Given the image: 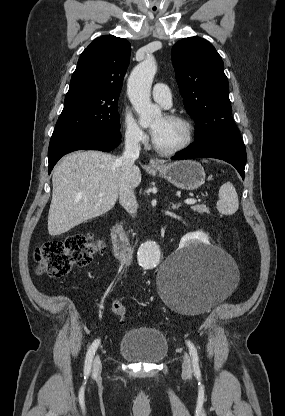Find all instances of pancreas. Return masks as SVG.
Here are the masks:
<instances>
[{
    "label": "pancreas",
    "instance_id": "1",
    "mask_svg": "<svg viewBox=\"0 0 285 416\" xmlns=\"http://www.w3.org/2000/svg\"><path fill=\"white\" fill-rule=\"evenodd\" d=\"M191 210H194V212H198V214H210L209 208L207 206H204V204H201V206H191Z\"/></svg>",
    "mask_w": 285,
    "mask_h": 416
}]
</instances>
